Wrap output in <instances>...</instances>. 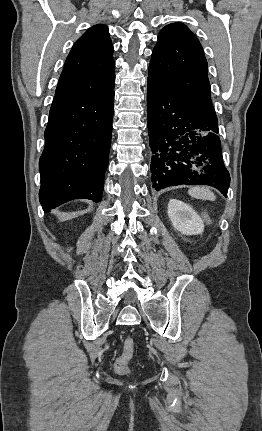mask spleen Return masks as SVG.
<instances>
[{"mask_svg": "<svg viewBox=\"0 0 262 431\" xmlns=\"http://www.w3.org/2000/svg\"><path fill=\"white\" fill-rule=\"evenodd\" d=\"M188 193L190 196L202 200L214 201L216 198L214 193L205 187H193L189 189Z\"/></svg>", "mask_w": 262, "mask_h": 431, "instance_id": "3e777b00", "label": "spleen"}]
</instances>
